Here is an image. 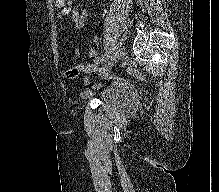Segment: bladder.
I'll return each mask as SVG.
<instances>
[{
	"instance_id": "1",
	"label": "bladder",
	"mask_w": 219,
	"mask_h": 192,
	"mask_svg": "<svg viewBox=\"0 0 219 192\" xmlns=\"http://www.w3.org/2000/svg\"><path fill=\"white\" fill-rule=\"evenodd\" d=\"M83 79L90 87L81 91V97L84 95L87 98L94 95L102 105L122 114H128L137 109L138 93L134 85L126 79L109 78L101 82L98 87H95L98 80L90 74H85Z\"/></svg>"
}]
</instances>
